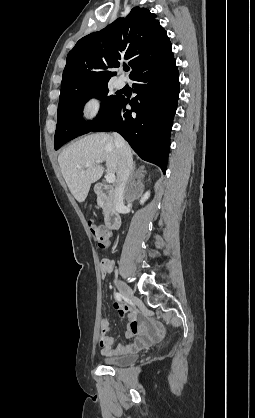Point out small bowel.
<instances>
[{
  "label": "small bowel",
  "instance_id": "1",
  "mask_svg": "<svg viewBox=\"0 0 255 418\" xmlns=\"http://www.w3.org/2000/svg\"><path fill=\"white\" fill-rule=\"evenodd\" d=\"M99 269L104 276L113 269V263L107 258H103L99 263ZM114 308L118 311L121 318L128 320L126 335L134 337L133 342L114 346V338L109 335V323L106 316H103L100 323L99 346L105 356H116L127 354L141 349L148 343L162 337L163 329L157 325L146 324L144 317L135 309L116 301Z\"/></svg>",
  "mask_w": 255,
  "mask_h": 418
}]
</instances>
